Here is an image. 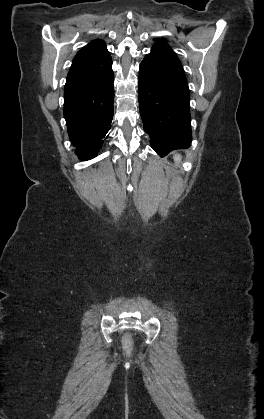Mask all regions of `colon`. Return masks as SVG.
Instances as JSON below:
<instances>
[{
    "label": "colon",
    "mask_w": 264,
    "mask_h": 419,
    "mask_svg": "<svg viewBox=\"0 0 264 419\" xmlns=\"http://www.w3.org/2000/svg\"><path fill=\"white\" fill-rule=\"evenodd\" d=\"M122 346L124 351L127 354H130L132 352V340L131 335L129 333H125L122 337Z\"/></svg>",
    "instance_id": "5ec220e1"
}]
</instances>
